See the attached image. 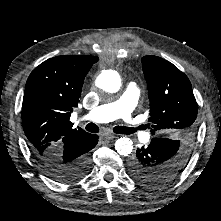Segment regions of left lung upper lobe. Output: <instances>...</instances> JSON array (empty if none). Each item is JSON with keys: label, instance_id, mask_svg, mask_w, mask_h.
I'll return each mask as SVG.
<instances>
[{"label": "left lung upper lobe", "instance_id": "1", "mask_svg": "<svg viewBox=\"0 0 221 221\" xmlns=\"http://www.w3.org/2000/svg\"><path fill=\"white\" fill-rule=\"evenodd\" d=\"M142 65L148 84L151 133L168 136L161 138L167 147L160 164L163 174L149 178L162 186L175 179L189 161L198 106L188 77L172 63L157 56H144Z\"/></svg>", "mask_w": 221, "mask_h": 221}]
</instances>
